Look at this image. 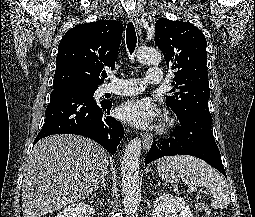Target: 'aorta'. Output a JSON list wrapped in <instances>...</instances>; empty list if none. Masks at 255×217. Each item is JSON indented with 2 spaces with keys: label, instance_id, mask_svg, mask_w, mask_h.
<instances>
[{
  "label": "aorta",
  "instance_id": "obj_1",
  "mask_svg": "<svg viewBox=\"0 0 255 217\" xmlns=\"http://www.w3.org/2000/svg\"><path fill=\"white\" fill-rule=\"evenodd\" d=\"M136 58L143 64H158L161 53L153 48H140L136 52ZM141 139L134 138L126 146L122 160V196L125 212L134 217L139 208V160L141 155Z\"/></svg>",
  "mask_w": 255,
  "mask_h": 217
}]
</instances>
